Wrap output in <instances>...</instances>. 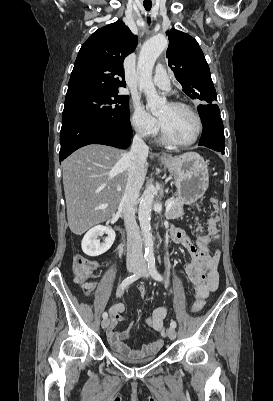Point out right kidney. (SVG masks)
Segmentation results:
<instances>
[{"instance_id":"ca27d5eb","label":"right kidney","mask_w":273,"mask_h":401,"mask_svg":"<svg viewBox=\"0 0 273 401\" xmlns=\"http://www.w3.org/2000/svg\"><path fill=\"white\" fill-rule=\"evenodd\" d=\"M103 233H106L108 237H106L104 243H100L98 237L99 235H103ZM115 237L116 235L113 229L97 225V227H93V229H90V231L84 235L81 243L82 251L85 255H89V257H99V255H103V253H106V251L112 247Z\"/></svg>"}]
</instances>
